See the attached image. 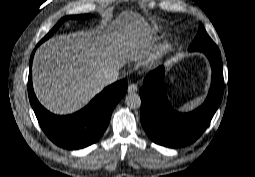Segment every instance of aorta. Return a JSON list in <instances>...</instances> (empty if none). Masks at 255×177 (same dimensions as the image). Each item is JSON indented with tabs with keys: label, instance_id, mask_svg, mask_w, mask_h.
<instances>
[{
	"label": "aorta",
	"instance_id": "1",
	"mask_svg": "<svg viewBox=\"0 0 255 177\" xmlns=\"http://www.w3.org/2000/svg\"><path fill=\"white\" fill-rule=\"evenodd\" d=\"M125 104L130 109H139L141 107V99L140 96L136 93H129L125 97Z\"/></svg>",
	"mask_w": 255,
	"mask_h": 177
}]
</instances>
